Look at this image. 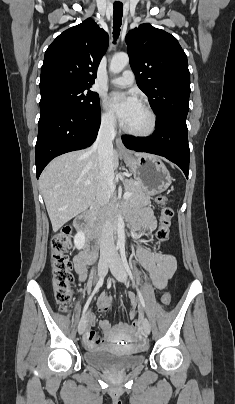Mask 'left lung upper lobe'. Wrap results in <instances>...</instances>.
I'll use <instances>...</instances> for the list:
<instances>
[{"mask_svg": "<svg viewBox=\"0 0 235 404\" xmlns=\"http://www.w3.org/2000/svg\"><path fill=\"white\" fill-rule=\"evenodd\" d=\"M126 43L137 85L147 95L156 122L174 116L186 118L190 73L177 39L150 24H141L127 34Z\"/></svg>", "mask_w": 235, "mask_h": 404, "instance_id": "5c2ea615", "label": "left lung upper lobe"}]
</instances>
